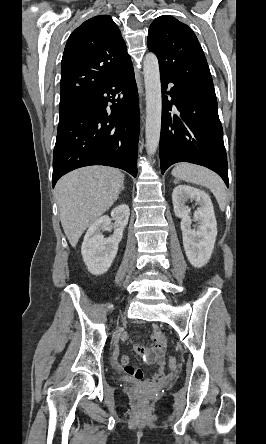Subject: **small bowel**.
Wrapping results in <instances>:
<instances>
[{"label": "small bowel", "mask_w": 266, "mask_h": 444, "mask_svg": "<svg viewBox=\"0 0 266 444\" xmlns=\"http://www.w3.org/2000/svg\"><path fill=\"white\" fill-rule=\"evenodd\" d=\"M122 340H127V337L123 336ZM134 347L135 351L142 356L147 364H152L157 367L154 375L149 379L143 380V371L139 367L130 365L128 356H123L121 360L116 363L117 369L128 375L132 380L142 382L149 386H155L162 382L165 378V338L158 326H153L152 344L150 346L146 347L135 344Z\"/></svg>", "instance_id": "obj_1"}]
</instances>
